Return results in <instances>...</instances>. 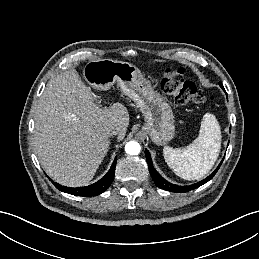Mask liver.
Here are the masks:
<instances>
[{
  "mask_svg": "<svg viewBox=\"0 0 259 259\" xmlns=\"http://www.w3.org/2000/svg\"><path fill=\"white\" fill-rule=\"evenodd\" d=\"M75 69L50 80L34 112V146L46 173L56 182L77 187L89 183L106 156L108 130L118 127L122 140L129 113L121 103L101 109Z\"/></svg>",
  "mask_w": 259,
  "mask_h": 259,
  "instance_id": "1",
  "label": "liver"
}]
</instances>
